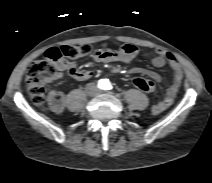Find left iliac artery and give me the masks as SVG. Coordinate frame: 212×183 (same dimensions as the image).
I'll return each mask as SVG.
<instances>
[{
    "label": "left iliac artery",
    "mask_w": 212,
    "mask_h": 183,
    "mask_svg": "<svg viewBox=\"0 0 212 183\" xmlns=\"http://www.w3.org/2000/svg\"><path fill=\"white\" fill-rule=\"evenodd\" d=\"M111 88H112V86H111V85H109V86H108V89H111Z\"/></svg>",
    "instance_id": "obj_1"
}]
</instances>
